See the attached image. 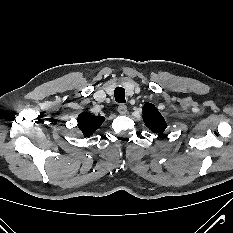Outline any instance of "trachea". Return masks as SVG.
I'll return each mask as SVG.
<instances>
[{
    "mask_svg": "<svg viewBox=\"0 0 233 233\" xmlns=\"http://www.w3.org/2000/svg\"><path fill=\"white\" fill-rule=\"evenodd\" d=\"M115 100L118 103H125V90L122 87H117L114 91Z\"/></svg>",
    "mask_w": 233,
    "mask_h": 233,
    "instance_id": "trachea-1",
    "label": "trachea"
}]
</instances>
